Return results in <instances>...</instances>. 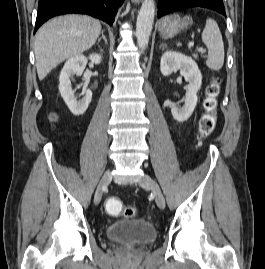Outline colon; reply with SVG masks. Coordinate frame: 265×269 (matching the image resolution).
<instances>
[{
	"instance_id": "colon-1",
	"label": "colon",
	"mask_w": 265,
	"mask_h": 269,
	"mask_svg": "<svg viewBox=\"0 0 265 269\" xmlns=\"http://www.w3.org/2000/svg\"><path fill=\"white\" fill-rule=\"evenodd\" d=\"M219 94H220L219 81L217 78L213 77L211 78L206 89V97L203 103L205 114L201 118L199 125V138L202 140L208 138L216 126ZM105 209L109 215L117 216L122 213L124 207L120 199L110 197L105 202ZM124 212L128 217H131L134 214L132 208H126Z\"/></svg>"
}]
</instances>
